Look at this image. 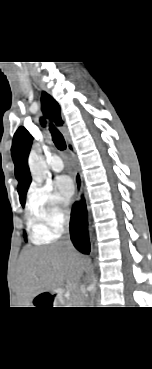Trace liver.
I'll return each mask as SVG.
<instances>
[{
  "instance_id": "liver-1",
  "label": "liver",
  "mask_w": 152,
  "mask_h": 369,
  "mask_svg": "<svg viewBox=\"0 0 152 369\" xmlns=\"http://www.w3.org/2000/svg\"><path fill=\"white\" fill-rule=\"evenodd\" d=\"M85 260L72 247L58 243L29 248L19 260L17 288L26 305L40 293L57 289L68 282L76 286L85 269Z\"/></svg>"
}]
</instances>
